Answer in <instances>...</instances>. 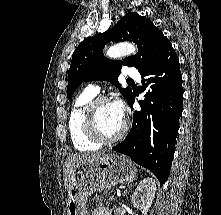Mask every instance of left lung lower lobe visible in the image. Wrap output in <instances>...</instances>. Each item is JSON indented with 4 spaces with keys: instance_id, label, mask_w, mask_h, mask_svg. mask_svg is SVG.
Returning a JSON list of instances; mask_svg holds the SVG:
<instances>
[{
    "instance_id": "1",
    "label": "left lung lower lobe",
    "mask_w": 221,
    "mask_h": 215,
    "mask_svg": "<svg viewBox=\"0 0 221 215\" xmlns=\"http://www.w3.org/2000/svg\"><path fill=\"white\" fill-rule=\"evenodd\" d=\"M140 74L142 91L148 87L145 99L139 101L141 110L133 113L130 133L112 150L128 155L137 164L150 169L163 185L171 168L183 103L182 75L171 43ZM134 101L133 95L128 103L131 109Z\"/></svg>"
}]
</instances>
